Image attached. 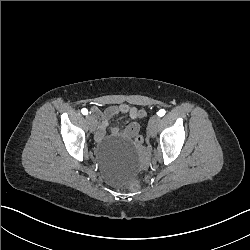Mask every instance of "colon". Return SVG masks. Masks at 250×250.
Instances as JSON below:
<instances>
[{"instance_id":"5ec220e1","label":"colon","mask_w":250,"mask_h":250,"mask_svg":"<svg viewBox=\"0 0 250 250\" xmlns=\"http://www.w3.org/2000/svg\"><path fill=\"white\" fill-rule=\"evenodd\" d=\"M137 115L140 117V118H143L145 115H146V112L143 110V109H140L138 112H137ZM143 137L142 136H140V135H138V136H136L135 137V143H136V145H142L143 144ZM130 188H131V190H133V191H138V190H140V188H141V183H140V181H138V180H133V181H131V183H130Z\"/></svg>"}]
</instances>
